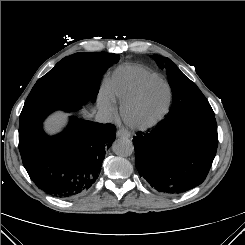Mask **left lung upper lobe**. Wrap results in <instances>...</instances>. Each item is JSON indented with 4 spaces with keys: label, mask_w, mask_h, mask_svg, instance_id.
<instances>
[{
    "label": "left lung upper lobe",
    "mask_w": 245,
    "mask_h": 245,
    "mask_svg": "<svg viewBox=\"0 0 245 245\" xmlns=\"http://www.w3.org/2000/svg\"><path fill=\"white\" fill-rule=\"evenodd\" d=\"M154 58L158 67L166 70L173 94L172 106L167 116L183 110L202 111L214 114L208 100L195 83L187 78L169 58Z\"/></svg>",
    "instance_id": "obj_1"
}]
</instances>
